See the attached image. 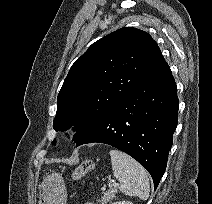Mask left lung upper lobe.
Listing matches in <instances>:
<instances>
[{
	"label": "left lung upper lobe",
	"mask_w": 212,
	"mask_h": 204,
	"mask_svg": "<svg viewBox=\"0 0 212 204\" xmlns=\"http://www.w3.org/2000/svg\"><path fill=\"white\" fill-rule=\"evenodd\" d=\"M163 62L156 42L142 30L124 27L101 38L72 65L58 94L54 129L75 126L77 144Z\"/></svg>",
	"instance_id": "5c2ea615"
}]
</instances>
